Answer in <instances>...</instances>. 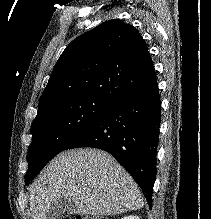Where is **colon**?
Returning a JSON list of instances; mask_svg holds the SVG:
<instances>
[{
  "mask_svg": "<svg viewBox=\"0 0 211 219\" xmlns=\"http://www.w3.org/2000/svg\"><path fill=\"white\" fill-rule=\"evenodd\" d=\"M63 219H72L70 217H64ZM74 219H106L104 217H97V216H77Z\"/></svg>",
  "mask_w": 211,
  "mask_h": 219,
  "instance_id": "1",
  "label": "colon"
}]
</instances>
